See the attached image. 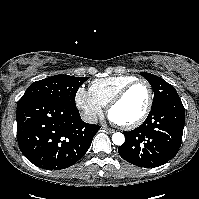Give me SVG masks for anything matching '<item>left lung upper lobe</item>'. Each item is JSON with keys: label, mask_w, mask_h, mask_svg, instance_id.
Returning <instances> with one entry per match:
<instances>
[{"label": "left lung upper lobe", "mask_w": 199, "mask_h": 199, "mask_svg": "<svg viewBox=\"0 0 199 199\" xmlns=\"http://www.w3.org/2000/svg\"><path fill=\"white\" fill-rule=\"evenodd\" d=\"M141 75L151 84L153 88L154 100L152 107H156L168 100L179 98L175 88L162 78L146 72H141Z\"/></svg>", "instance_id": "5c2ea615"}]
</instances>
